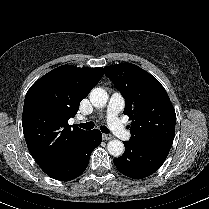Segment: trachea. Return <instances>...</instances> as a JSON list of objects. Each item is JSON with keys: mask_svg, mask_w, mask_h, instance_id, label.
I'll list each match as a JSON object with an SVG mask.
<instances>
[{"mask_svg": "<svg viewBox=\"0 0 209 209\" xmlns=\"http://www.w3.org/2000/svg\"><path fill=\"white\" fill-rule=\"evenodd\" d=\"M94 123L93 122H86V123H81V124H78V126L80 128H83V129H86V130H91L94 128ZM100 130L103 132V133H109V129L106 127V126H100Z\"/></svg>", "mask_w": 209, "mask_h": 209, "instance_id": "1", "label": "trachea"}]
</instances>
